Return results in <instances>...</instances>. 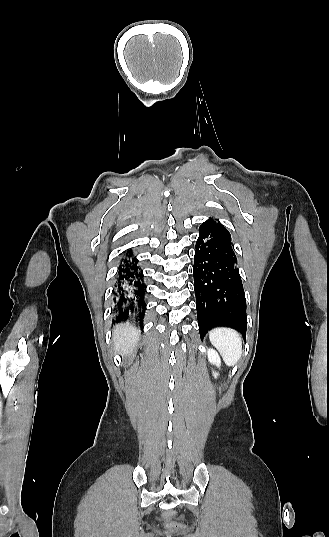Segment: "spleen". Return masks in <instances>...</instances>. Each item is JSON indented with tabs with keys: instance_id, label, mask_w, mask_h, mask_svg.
<instances>
[{
	"instance_id": "obj_1",
	"label": "spleen",
	"mask_w": 329,
	"mask_h": 537,
	"mask_svg": "<svg viewBox=\"0 0 329 537\" xmlns=\"http://www.w3.org/2000/svg\"><path fill=\"white\" fill-rule=\"evenodd\" d=\"M209 339L227 365L233 366L240 359L242 340L237 331L230 328H216L209 333Z\"/></svg>"
}]
</instances>
